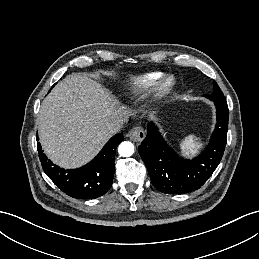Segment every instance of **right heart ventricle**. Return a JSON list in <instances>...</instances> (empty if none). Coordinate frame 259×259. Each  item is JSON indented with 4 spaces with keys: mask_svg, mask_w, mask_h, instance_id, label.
<instances>
[{
    "mask_svg": "<svg viewBox=\"0 0 259 259\" xmlns=\"http://www.w3.org/2000/svg\"><path fill=\"white\" fill-rule=\"evenodd\" d=\"M162 74L159 72H148L135 76L131 80V85L134 89L143 91L154 85Z\"/></svg>",
    "mask_w": 259,
    "mask_h": 259,
    "instance_id": "1",
    "label": "right heart ventricle"
}]
</instances>
